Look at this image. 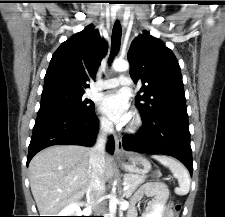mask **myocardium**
<instances>
[{
    "label": "myocardium",
    "mask_w": 225,
    "mask_h": 217,
    "mask_svg": "<svg viewBox=\"0 0 225 217\" xmlns=\"http://www.w3.org/2000/svg\"><path fill=\"white\" fill-rule=\"evenodd\" d=\"M141 125V118L138 114H134L130 124H129V127H128V130L130 132H135L138 130V128L140 127Z\"/></svg>",
    "instance_id": "f54148a6"
}]
</instances>
